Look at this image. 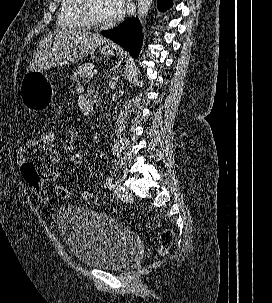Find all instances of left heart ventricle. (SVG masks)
Segmentation results:
<instances>
[{"label": "left heart ventricle", "instance_id": "left-heart-ventricle-1", "mask_svg": "<svg viewBox=\"0 0 272 303\" xmlns=\"http://www.w3.org/2000/svg\"><path fill=\"white\" fill-rule=\"evenodd\" d=\"M92 12L97 20L101 22L110 21L106 14L105 0H92Z\"/></svg>", "mask_w": 272, "mask_h": 303}]
</instances>
